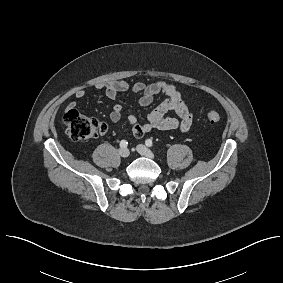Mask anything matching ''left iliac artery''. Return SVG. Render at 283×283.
Masks as SVG:
<instances>
[{"instance_id": "obj_1", "label": "left iliac artery", "mask_w": 283, "mask_h": 283, "mask_svg": "<svg viewBox=\"0 0 283 283\" xmlns=\"http://www.w3.org/2000/svg\"><path fill=\"white\" fill-rule=\"evenodd\" d=\"M145 144H146L148 147H152V146H153V142H152L151 139H147V140L145 141Z\"/></svg>"}]
</instances>
